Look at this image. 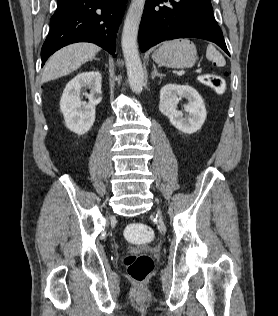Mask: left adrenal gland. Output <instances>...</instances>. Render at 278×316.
<instances>
[{"instance_id":"obj_1","label":"left adrenal gland","mask_w":278,"mask_h":316,"mask_svg":"<svg viewBox=\"0 0 278 316\" xmlns=\"http://www.w3.org/2000/svg\"><path fill=\"white\" fill-rule=\"evenodd\" d=\"M164 76H165L164 74L158 73L155 64H153V71L151 73V78L152 79H155V77L163 78Z\"/></svg>"}]
</instances>
